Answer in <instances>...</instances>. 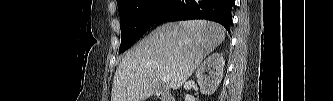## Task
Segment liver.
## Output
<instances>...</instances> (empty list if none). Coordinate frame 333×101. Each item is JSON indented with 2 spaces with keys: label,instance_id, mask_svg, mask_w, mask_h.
I'll list each match as a JSON object with an SVG mask.
<instances>
[{
  "label": "liver",
  "instance_id": "1",
  "mask_svg": "<svg viewBox=\"0 0 333 101\" xmlns=\"http://www.w3.org/2000/svg\"><path fill=\"white\" fill-rule=\"evenodd\" d=\"M224 39L225 29L206 20L157 27L120 61L111 101H144L159 90L163 75L172 89L180 88Z\"/></svg>",
  "mask_w": 333,
  "mask_h": 101
}]
</instances>
